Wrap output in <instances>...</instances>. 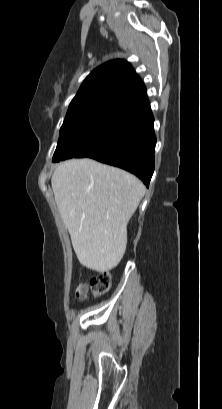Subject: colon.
I'll return each mask as SVG.
<instances>
[{
    "label": "colon",
    "instance_id": "1",
    "mask_svg": "<svg viewBox=\"0 0 222 409\" xmlns=\"http://www.w3.org/2000/svg\"><path fill=\"white\" fill-rule=\"evenodd\" d=\"M112 284L111 274L107 271L101 272L90 280L91 293L93 296H101L107 293ZM81 299L86 297V293L78 294Z\"/></svg>",
    "mask_w": 222,
    "mask_h": 409
}]
</instances>
